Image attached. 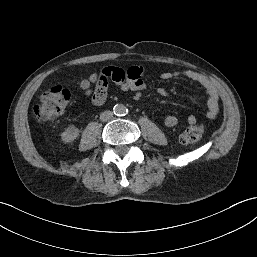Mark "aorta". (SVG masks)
<instances>
[{"instance_id": "obj_1", "label": "aorta", "mask_w": 257, "mask_h": 257, "mask_svg": "<svg viewBox=\"0 0 257 257\" xmlns=\"http://www.w3.org/2000/svg\"><path fill=\"white\" fill-rule=\"evenodd\" d=\"M113 111H114V114H116L117 116H123L127 113V108L123 104H116L113 107Z\"/></svg>"}]
</instances>
